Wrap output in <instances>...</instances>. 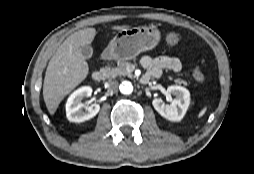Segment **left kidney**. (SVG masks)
Masks as SVG:
<instances>
[{"instance_id":"5707ae66","label":"left kidney","mask_w":254,"mask_h":174,"mask_svg":"<svg viewBox=\"0 0 254 174\" xmlns=\"http://www.w3.org/2000/svg\"><path fill=\"white\" fill-rule=\"evenodd\" d=\"M167 92L169 95L175 96L170 104L166 105L162 99L155 98L152 101L153 107L167 120L173 122L181 121L190 104V93L186 88L177 85L169 86Z\"/></svg>"}]
</instances>
